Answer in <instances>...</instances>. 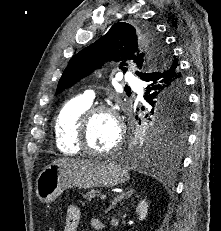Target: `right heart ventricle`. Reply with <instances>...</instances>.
I'll use <instances>...</instances> for the list:
<instances>
[{"label":"right heart ventricle","instance_id":"right-heart-ventricle-1","mask_svg":"<svg viewBox=\"0 0 221 231\" xmlns=\"http://www.w3.org/2000/svg\"><path fill=\"white\" fill-rule=\"evenodd\" d=\"M90 103L82 98H73L60 109L54 123L56 146L63 154L71 155L80 152L77 144V124Z\"/></svg>","mask_w":221,"mask_h":231}]
</instances>
